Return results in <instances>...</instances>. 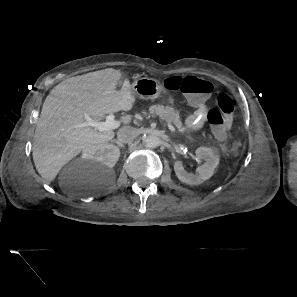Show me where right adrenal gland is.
Listing matches in <instances>:
<instances>
[{
  "mask_svg": "<svg viewBox=\"0 0 297 297\" xmlns=\"http://www.w3.org/2000/svg\"><path fill=\"white\" fill-rule=\"evenodd\" d=\"M111 142L112 143H116L118 145V147H121V148L124 147V145L120 141H118V140L113 139V140H111Z\"/></svg>",
  "mask_w": 297,
  "mask_h": 297,
  "instance_id": "2a0ac1e0",
  "label": "right adrenal gland"
}]
</instances>
